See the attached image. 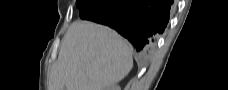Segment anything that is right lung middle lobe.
<instances>
[{"label":"right lung middle lobe","mask_w":228,"mask_h":90,"mask_svg":"<svg viewBox=\"0 0 228 90\" xmlns=\"http://www.w3.org/2000/svg\"><path fill=\"white\" fill-rule=\"evenodd\" d=\"M104 0H76V6L80 10V17L90 10L102 5Z\"/></svg>","instance_id":"1"}]
</instances>
